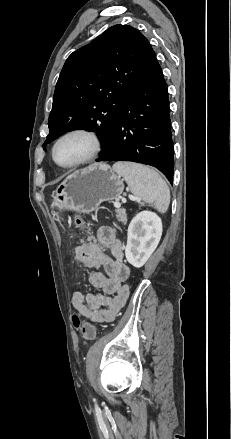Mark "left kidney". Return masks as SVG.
<instances>
[{"label": "left kidney", "mask_w": 231, "mask_h": 439, "mask_svg": "<svg viewBox=\"0 0 231 439\" xmlns=\"http://www.w3.org/2000/svg\"><path fill=\"white\" fill-rule=\"evenodd\" d=\"M161 235L162 221L156 213H138L130 222L127 231V261L136 268L142 267L157 248Z\"/></svg>", "instance_id": "5707ae66"}]
</instances>
